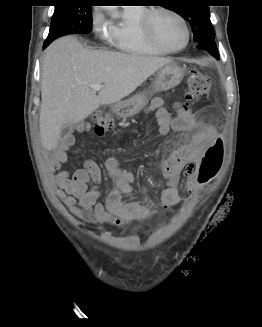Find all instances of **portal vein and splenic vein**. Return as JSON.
Returning a JSON list of instances; mask_svg holds the SVG:
<instances>
[{
	"label": "portal vein and splenic vein",
	"instance_id": "obj_1",
	"mask_svg": "<svg viewBox=\"0 0 262 327\" xmlns=\"http://www.w3.org/2000/svg\"><path fill=\"white\" fill-rule=\"evenodd\" d=\"M103 85L101 84H95V85H92L91 88L94 90V91H100L102 89Z\"/></svg>",
	"mask_w": 262,
	"mask_h": 327
}]
</instances>
